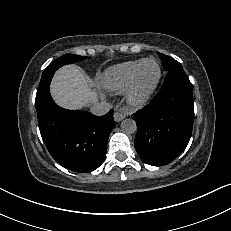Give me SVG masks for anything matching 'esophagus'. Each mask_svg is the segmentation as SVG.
<instances>
[{"label":"esophagus","mask_w":231,"mask_h":231,"mask_svg":"<svg viewBox=\"0 0 231 231\" xmlns=\"http://www.w3.org/2000/svg\"><path fill=\"white\" fill-rule=\"evenodd\" d=\"M113 116H114V120L116 122H120L121 120H123L126 117V114L122 113V112H115Z\"/></svg>","instance_id":"1"}]
</instances>
